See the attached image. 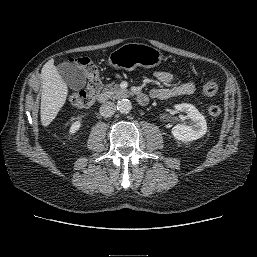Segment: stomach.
<instances>
[{"mask_svg":"<svg viewBox=\"0 0 257 257\" xmlns=\"http://www.w3.org/2000/svg\"><path fill=\"white\" fill-rule=\"evenodd\" d=\"M108 60L114 68L132 71L138 66L152 68L159 65L162 54L146 44L127 43L111 52Z\"/></svg>","mask_w":257,"mask_h":257,"instance_id":"obj_1","label":"stomach"}]
</instances>
